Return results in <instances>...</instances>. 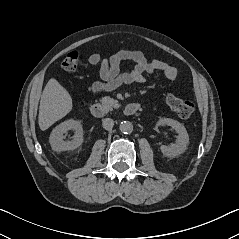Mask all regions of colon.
Here are the masks:
<instances>
[{"mask_svg": "<svg viewBox=\"0 0 239 239\" xmlns=\"http://www.w3.org/2000/svg\"><path fill=\"white\" fill-rule=\"evenodd\" d=\"M81 64V57L78 51H72L67 54L62 62V68L64 71H75ZM168 106L183 119L189 118L194 111V105L188 100L181 99L175 95L167 96Z\"/></svg>", "mask_w": 239, "mask_h": 239, "instance_id": "5ec220e1", "label": "colon"}]
</instances>
